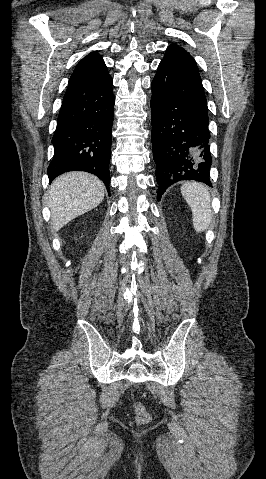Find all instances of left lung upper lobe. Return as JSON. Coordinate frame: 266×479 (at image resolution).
<instances>
[{
	"label": "left lung upper lobe",
	"mask_w": 266,
	"mask_h": 479,
	"mask_svg": "<svg viewBox=\"0 0 266 479\" xmlns=\"http://www.w3.org/2000/svg\"><path fill=\"white\" fill-rule=\"evenodd\" d=\"M161 62L167 63L187 76L201 81L194 58L177 44H171L168 46Z\"/></svg>",
	"instance_id": "obj_1"
}]
</instances>
